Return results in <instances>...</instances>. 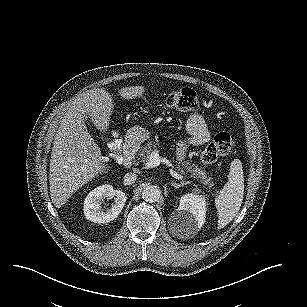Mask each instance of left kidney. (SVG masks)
<instances>
[{"mask_svg": "<svg viewBox=\"0 0 307 307\" xmlns=\"http://www.w3.org/2000/svg\"><path fill=\"white\" fill-rule=\"evenodd\" d=\"M209 199L205 193H186L180 198L179 206L173 213L174 232L185 237L194 236L205 224Z\"/></svg>", "mask_w": 307, "mask_h": 307, "instance_id": "left-kidney-1", "label": "left kidney"}]
</instances>
